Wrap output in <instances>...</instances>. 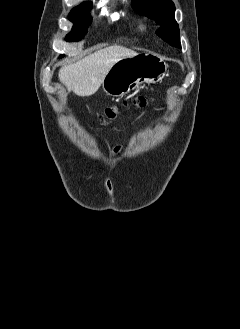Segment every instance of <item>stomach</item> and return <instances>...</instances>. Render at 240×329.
Here are the masks:
<instances>
[{
	"label": "stomach",
	"instance_id": "1",
	"mask_svg": "<svg viewBox=\"0 0 240 329\" xmlns=\"http://www.w3.org/2000/svg\"><path fill=\"white\" fill-rule=\"evenodd\" d=\"M168 65L158 54L143 52L117 61L102 81L103 91L110 96H124L141 83H156L167 73Z\"/></svg>",
	"mask_w": 240,
	"mask_h": 329
}]
</instances>
